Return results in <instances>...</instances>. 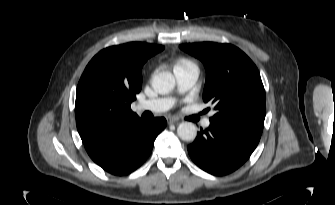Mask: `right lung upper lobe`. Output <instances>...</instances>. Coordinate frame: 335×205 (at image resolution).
<instances>
[{"mask_svg": "<svg viewBox=\"0 0 335 205\" xmlns=\"http://www.w3.org/2000/svg\"><path fill=\"white\" fill-rule=\"evenodd\" d=\"M161 45L130 42L101 50L77 86L75 116L84 144L109 138L140 118L130 105L142 86L141 69Z\"/></svg>", "mask_w": 335, "mask_h": 205, "instance_id": "right-lung-upper-lobe-1", "label": "right lung upper lobe"}]
</instances>
